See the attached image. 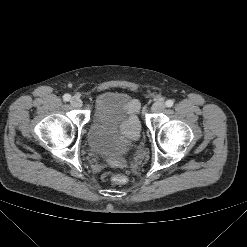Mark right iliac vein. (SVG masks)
Here are the masks:
<instances>
[{
	"instance_id": "1",
	"label": "right iliac vein",
	"mask_w": 247,
	"mask_h": 247,
	"mask_svg": "<svg viewBox=\"0 0 247 247\" xmlns=\"http://www.w3.org/2000/svg\"><path fill=\"white\" fill-rule=\"evenodd\" d=\"M70 103H71V105L73 107H78L79 108V107L82 106V100L77 96L72 97L71 100H70Z\"/></svg>"
}]
</instances>
